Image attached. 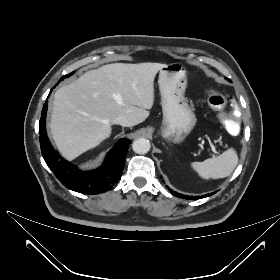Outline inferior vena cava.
I'll use <instances>...</instances> for the list:
<instances>
[{
    "label": "inferior vena cava",
    "mask_w": 280,
    "mask_h": 280,
    "mask_svg": "<svg viewBox=\"0 0 280 280\" xmlns=\"http://www.w3.org/2000/svg\"><path fill=\"white\" fill-rule=\"evenodd\" d=\"M113 124H118V125H121L123 127H128L130 126V123L128 121V119L124 116H119L117 118H115L113 121H112Z\"/></svg>",
    "instance_id": "602c4592"
}]
</instances>
